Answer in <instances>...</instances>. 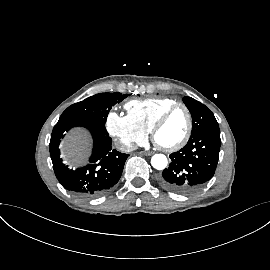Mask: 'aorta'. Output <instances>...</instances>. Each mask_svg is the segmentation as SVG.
<instances>
[{
    "label": "aorta",
    "mask_w": 270,
    "mask_h": 270,
    "mask_svg": "<svg viewBox=\"0 0 270 270\" xmlns=\"http://www.w3.org/2000/svg\"><path fill=\"white\" fill-rule=\"evenodd\" d=\"M168 164L167 157L164 154H155L151 158V165L157 170H163Z\"/></svg>",
    "instance_id": "obj_1"
}]
</instances>
